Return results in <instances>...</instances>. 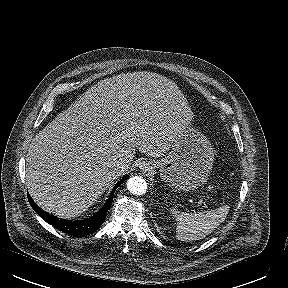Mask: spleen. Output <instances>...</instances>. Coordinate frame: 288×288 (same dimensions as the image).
Masks as SVG:
<instances>
[{
  "label": "spleen",
  "instance_id": "3e777b00",
  "mask_svg": "<svg viewBox=\"0 0 288 288\" xmlns=\"http://www.w3.org/2000/svg\"><path fill=\"white\" fill-rule=\"evenodd\" d=\"M177 221L176 238L181 241H196L205 238L223 222L229 212V207L198 213H180L171 209Z\"/></svg>",
  "mask_w": 288,
  "mask_h": 288
}]
</instances>
